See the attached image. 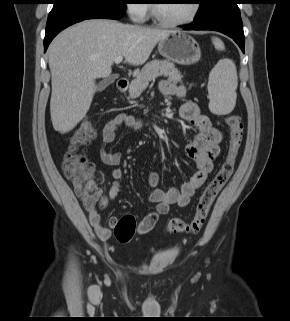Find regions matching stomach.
I'll use <instances>...</instances> for the list:
<instances>
[{"mask_svg": "<svg viewBox=\"0 0 290 321\" xmlns=\"http://www.w3.org/2000/svg\"><path fill=\"white\" fill-rule=\"evenodd\" d=\"M159 53L180 65H192L199 61L201 50L197 41L183 31H173L158 43Z\"/></svg>", "mask_w": 290, "mask_h": 321, "instance_id": "1", "label": "stomach"}]
</instances>
